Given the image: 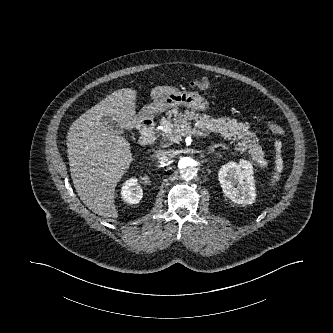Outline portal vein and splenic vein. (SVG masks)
I'll return each mask as SVG.
<instances>
[{
  "mask_svg": "<svg viewBox=\"0 0 333 333\" xmlns=\"http://www.w3.org/2000/svg\"><path fill=\"white\" fill-rule=\"evenodd\" d=\"M191 134H197V135H199V136H203V137L208 136L207 134L202 133V132H199V131H196V130H193V131L191 132Z\"/></svg>",
  "mask_w": 333,
  "mask_h": 333,
  "instance_id": "18ae733b",
  "label": "portal vein and splenic vein"
}]
</instances>
